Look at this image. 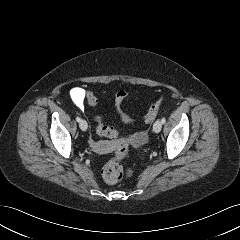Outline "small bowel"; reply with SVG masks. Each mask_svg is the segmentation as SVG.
<instances>
[{"instance_id": "small-bowel-1", "label": "small bowel", "mask_w": 240, "mask_h": 240, "mask_svg": "<svg viewBox=\"0 0 240 240\" xmlns=\"http://www.w3.org/2000/svg\"><path fill=\"white\" fill-rule=\"evenodd\" d=\"M70 97H71L73 103L79 109L84 108L85 99H86V91H85L84 88L74 87L70 91ZM138 137L142 138V135H138ZM90 145L95 151L100 152V153L109 152L114 147L113 142L95 141V140H92V139L90 140Z\"/></svg>"}]
</instances>
